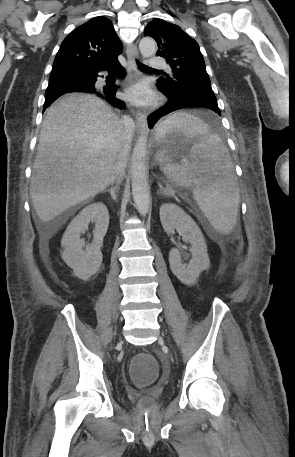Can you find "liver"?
Returning a JSON list of instances; mask_svg holds the SVG:
<instances>
[{
  "instance_id": "obj_1",
  "label": "liver",
  "mask_w": 295,
  "mask_h": 457,
  "mask_svg": "<svg viewBox=\"0 0 295 457\" xmlns=\"http://www.w3.org/2000/svg\"><path fill=\"white\" fill-rule=\"evenodd\" d=\"M123 149L127 159L130 141L105 101L68 94L53 103L40 132L30 184L40 220L47 223L104 191L114 181Z\"/></svg>"
}]
</instances>
